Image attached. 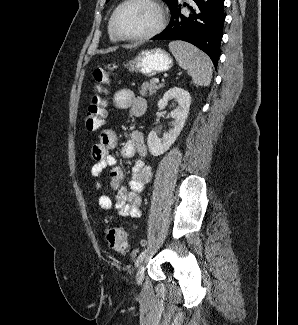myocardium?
I'll list each match as a JSON object with an SVG mask.
<instances>
[{"label": "myocardium", "instance_id": "myocardium-1", "mask_svg": "<svg viewBox=\"0 0 298 325\" xmlns=\"http://www.w3.org/2000/svg\"><path fill=\"white\" fill-rule=\"evenodd\" d=\"M133 4H141V5H145V6H148L149 8H151L156 16V23L146 33L139 35L135 38L126 39V38L122 37L121 34L118 32L117 27H116V21H117V17L119 15L120 11L123 8H125L126 6L133 5ZM110 26H111V32H112L113 36L117 39L118 42L125 43V44L139 43V42L147 41L161 32V30L164 27V15H163V12H162L160 6L153 0H127V1L123 2L122 4H120L115 9L114 13L111 16Z\"/></svg>", "mask_w": 298, "mask_h": 325}]
</instances>
